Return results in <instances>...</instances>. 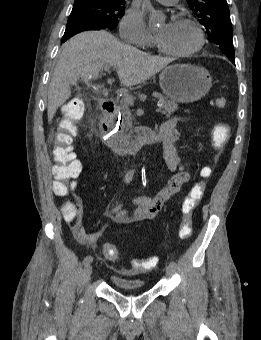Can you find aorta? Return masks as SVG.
<instances>
[{
	"label": "aorta",
	"mask_w": 261,
	"mask_h": 340,
	"mask_svg": "<svg viewBox=\"0 0 261 340\" xmlns=\"http://www.w3.org/2000/svg\"><path fill=\"white\" fill-rule=\"evenodd\" d=\"M143 9L149 14L148 24L150 26H156L162 19L160 14L152 7L149 0H144Z\"/></svg>",
	"instance_id": "1"
}]
</instances>
